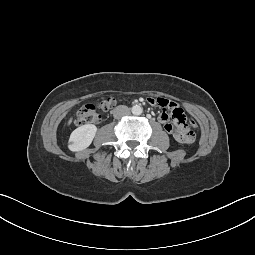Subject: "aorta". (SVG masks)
Instances as JSON below:
<instances>
[{
	"label": "aorta",
	"instance_id": "obj_1",
	"mask_svg": "<svg viewBox=\"0 0 255 255\" xmlns=\"http://www.w3.org/2000/svg\"><path fill=\"white\" fill-rule=\"evenodd\" d=\"M131 111L134 115H140L142 113L143 109L140 105H134V106H132Z\"/></svg>",
	"mask_w": 255,
	"mask_h": 255
}]
</instances>
